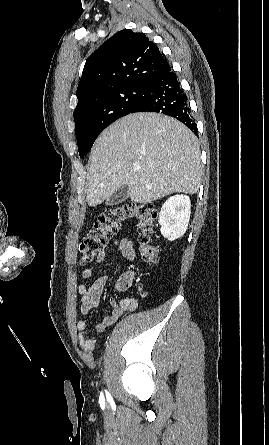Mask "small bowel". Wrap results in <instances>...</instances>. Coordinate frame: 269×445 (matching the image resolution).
<instances>
[{"mask_svg":"<svg viewBox=\"0 0 269 445\" xmlns=\"http://www.w3.org/2000/svg\"><path fill=\"white\" fill-rule=\"evenodd\" d=\"M112 247L116 248L123 258L129 262H133L136 257L135 249L132 242L128 239L122 238L115 240L112 243ZM106 258V251H102L97 261L102 262ZM81 276L84 280H90L93 278V269L86 268L82 271ZM132 273H126L123 275L118 284L123 281H131ZM107 283L106 276H99L90 285L81 284L78 286V293L81 296L80 299V312L83 315L89 313L90 310L96 308L99 305L102 294L105 290ZM110 314L106 316L100 323L96 325V331L103 333L115 323H117L125 315L134 312L138 308V301L135 298H125L121 302L115 298L109 299ZM77 330L79 331L78 340L80 346L86 352H92L96 346V339L94 336L89 335L88 325L86 321L80 320L77 322Z\"/></svg>","mask_w":269,"mask_h":445,"instance_id":"obj_1","label":"small bowel"}]
</instances>
